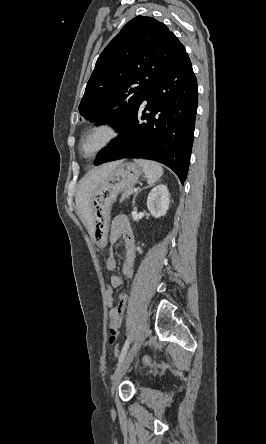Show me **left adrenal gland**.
Here are the masks:
<instances>
[{
  "instance_id": "left-adrenal-gland-1",
  "label": "left adrenal gland",
  "mask_w": 266,
  "mask_h": 444,
  "mask_svg": "<svg viewBox=\"0 0 266 444\" xmlns=\"http://www.w3.org/2000/svg\"><path fill=\"white\" fill-rule=\"evenodd\" d=\"M138 192L135 194L134 198H133V206L135 205V198L137 196Z\"/></svg>"
}]
</instances>
